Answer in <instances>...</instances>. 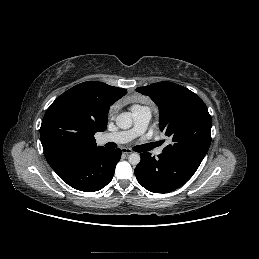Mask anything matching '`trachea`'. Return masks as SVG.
I'll list each match as a JSON object with an SVG mask.
<instances>
[{"label": "trachea", "mask_w": 259, "mask_h": 259, "mask_svg": "<svg viewBox=\"0 0 259 259\" xmlns=\"http://www.w3.org/2000/svg\"><path fill=\"white\" fill-rule=\"evenodd\" d=\"M153 147V144H148V145H141L137 147V150L139 152L147 151Z\"/></svg>", "instance_id": "1"}]
</instances>
